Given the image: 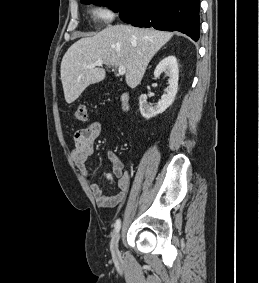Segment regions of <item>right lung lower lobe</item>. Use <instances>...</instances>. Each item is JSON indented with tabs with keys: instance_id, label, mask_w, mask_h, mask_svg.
Returning <instances> with one entry per match:
<instances>
[{
	"instance_id": "obj_1",
	"label": "right lung lower lobe",
	"mask_w": 259,
	"mask_h": 283,
	"mask_svg": "<svg viewBox=\"0 0 259 283\" xmlns=\"http://www.w3.org/2000/svg\"><path fill=\"white\" fill-rule=\"evenodd\" d=\"M200 0H121L118 6L122 21L138 27L179 31L199 39Z\"/></svg>"
}]
</instances>
